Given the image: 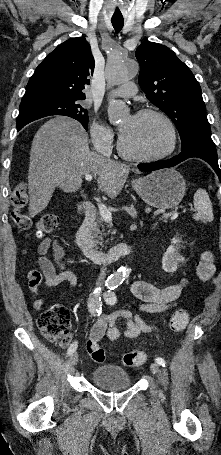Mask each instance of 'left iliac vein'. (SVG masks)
Masks as SVG:
<instances>
[{"label":"left iliac vein","mask_w":221,"mask_h":455,"mask_svg":"<svg viewBox=\"0 0 221 455\" xmlns=\"http://www.w3.org/2000/svg\"><path fill=\"white\" fill-rule=\"evenodd\" d=\"M150 369H151L152 373L155 374V375L160 373V367H159V365L157 363H152L150 365Z\"/></svg>","instance_id":"1"}]
</instances>
